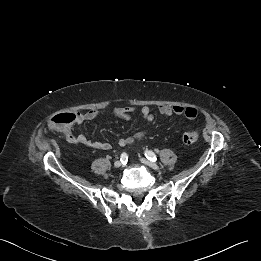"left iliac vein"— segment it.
<instances>
[{"label": "left iliac vein", "instance_id": "4c4485c4", "mask_svg": "<svg viewBox=\"0 0 261 261\" xmlns=\"http://www.w3.org/2000/svg\"><path fill=\"white\" fill-rule=\"evenodd\" d=\"M140 160L144 165H146L154 170H157V171L160 170L159 166L157 164H155L154 162H152L146 158H141Z\"/></svg>", "mask_w": 261, "mask_h": 261}]
</instances>
